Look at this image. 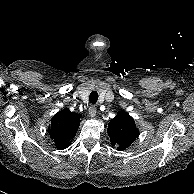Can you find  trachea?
I'll return each instance as SVG.
<instances>
[{
  "label": "trachea",
  "instance_id": "3493384b",
  "mask_svg": "<svg viewBox=\"0 0 194 194\" xmlns=\"http://www.w3.org/2000/svg\"><path fill=\"white\" fill-rule=\"evenodd\" d=\"M97 100H98V93H97V91H92L90 93V98H89L90 103L91 104H96Z\"/></svg>",
  "mask_w": 194,
  "mask_h": 194
}]
</instances>
